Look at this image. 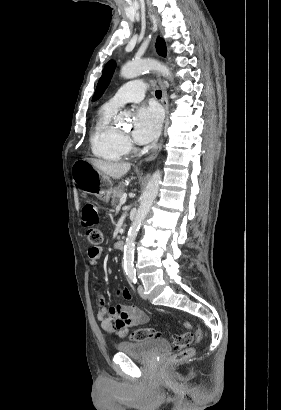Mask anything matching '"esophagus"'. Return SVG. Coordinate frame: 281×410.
<instances>
[{
	"instance_id": "1",
	"label": "esophagus",
	"mask_w": 281,
	"mask_h": 410,
	"mask_svg": "<svg viewBox=\"0 0 281 410\" xmlns=\"http://www.w3.org/2000/svg\"><path fill=\"white\" fill-rule=\"evenodd\" d=\"M158 83L161 87L162 90V105L164 107L165 110V114H166V120L168 119V115H169V104H168V98H167V92L165 89V86L163 84V82L161 81L160 78H158ZM162 142H163V138H161L160 142L156 145V147L153 149L152 153L145 159L146 162H150L153 161L159 154V152L161 151L162 148Z\"/></svg>"
}]
</instances>
